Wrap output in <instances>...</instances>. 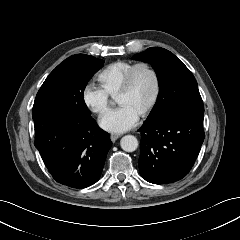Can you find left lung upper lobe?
<instances>
[{"mask_svg":"<svg viewBox=\"0 0 240 240\" xmlns=\"http://www.w3.org/2000/svg\"><path fill=\"white\" fill-rule=\"evenodd\" d=\"M150 63L159 82L157 101L145 122L162 120L177 111L204 113L203 101L191 71L170 51L151 47L133 56Z\"/></svg>","mask_w":240,"mask_h":240,"instance_id":"obj_1","label":"left lung upper lobe"}]
</instances>
